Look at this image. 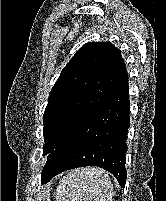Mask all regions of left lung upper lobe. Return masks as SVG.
Here are the masks:
<instances>
[{
	"label": "left lung upper lobe",
	"mask_w": 166,
	"mask_h": 201,
	"mask_svg": "<svg viewBox=\"0 0 166 201\" xmlns=\"http://www.w3.org/2000/svg\"><path fill=\"white\" fill-rule=\"evenodd\" d=\"M120 51L109 42L83 45L63 68L48 99L43 155L50 156L127 77Z\"/></svg>",
	"instance_id": "5c2ea615"
}]
</instances>
